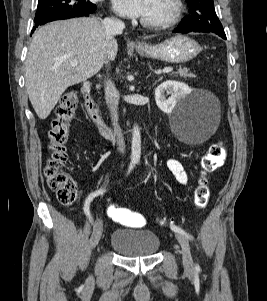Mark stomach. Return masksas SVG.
Instances as JSON below:
<instances>
[{"mask_svg": "<svg viewBox=\"0 0 267 301\" xmlns=\"http://www.w3.org/2000/svg\"><path fill=\"white\" fill-rule=\"evenodd\" d=\"M135 49L142 56L161 59L169 63L190 61L201 51L200 45L195 40L183 35H176L158 45H136Z\"/></svg>", "mask_w": 267, "mask_h": 301, "instance_id": "stomach-1", "label": "stomach"}]
</instances>
